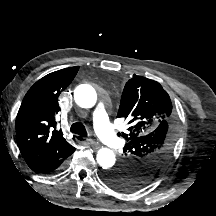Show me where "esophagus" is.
<instances>
[{"label":"esophagus","instance_id":"obj_1","mask_svg":"<svg viewBox=\"0 0 216 216\" xmlns=\"http://www.w3.org/2000/svg\"><path fill=\"white\" fill-rule=\"evenodd\" d=\"M75 139L77 142H86V143L93 145V146H96V147L99 146V144L93 139L83 138L81 136H77Z\"/></svg>","mask_w":216,"mask_h":216}]
</instances>
